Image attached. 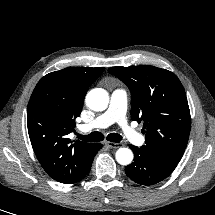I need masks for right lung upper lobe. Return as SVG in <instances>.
I'll return each mask as SVG.
<instances>
[{
    "instance_id": "1",
    "label": "right lung upper lobe",
    "mask_w": 215,
    "mask_h": 215,
    "mask_svg": "<svg viewBox=\"0 0 215 215\" xmlns=\"http://www.w3.org/2000/svg\"><path fill=\"white\" fill-rule=\"evenodd\" d=\"M104 67H68L44 76L27 107L30 141L43 169L56 181L76 183L89 161L92 143L71 141L88 87Z\"/></svg>"
}]
</instances>
